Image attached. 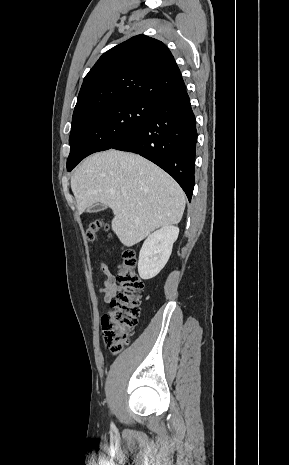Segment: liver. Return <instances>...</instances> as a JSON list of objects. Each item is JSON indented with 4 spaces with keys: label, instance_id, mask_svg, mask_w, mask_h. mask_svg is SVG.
<instances>
[{
    "label": "liver",
    "instance_id": "obj_1",
    "mask_svg": "<svg viewBox=\"0 0 289 465\" xmlns=\"http://www.w3.org/2000/svg\"><path fill=\"white\" fill-rule=\"evenodd\" d=\"M71 189L79 214L95 203L112 209V230L128 247L159 227L178 224L186 203L183 190L162 169L114 149L86 158L71 178Z\"/></svg>",
    "mask_w": 289,
    "mask_h": 465
}]
</instances>
